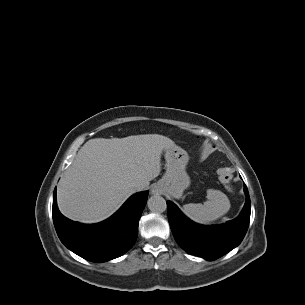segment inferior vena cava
Here are the masks:
<instances>
[{
    "mask_svg": "<svg viewBox=\"0 0 305 305\" xmlns=\"http://www.w3.org/2000/svg\"><path fill=\"white\" fill-rule=\"evenodd\" d=\"M132 186L136 191H140L143 188L140 184H133Z\"/></svg>",
    "mask_w": 305,
    "mask_h": 305,
    "instance_id": "1",
    "label": "inferior vena cava"
}]
</instances>
